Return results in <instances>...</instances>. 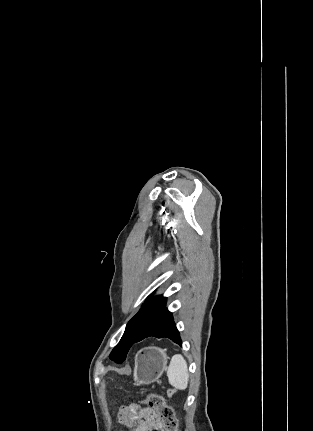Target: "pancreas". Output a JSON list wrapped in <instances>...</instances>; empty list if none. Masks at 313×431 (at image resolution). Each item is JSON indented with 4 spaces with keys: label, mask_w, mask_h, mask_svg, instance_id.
Returning a JSON list of instances; mask_svg holds the SVG:
<instances>
[{
    "label": "pancreas",
    "mask_w": 313,
    "mask_h": 431,
    "mask_svg": "<svg viewBox=\"0 0 313 431\" xmlns=\"http://www.w3.org/2000/svg\"><path fill=\"white\" fill-rule=\"evenodd\" d=\"M167 394L170 396V395H172L173 394V390H168L167 391Z\"/></svg>",
    "instance_id": "1"
}]
</instances>
